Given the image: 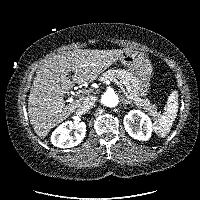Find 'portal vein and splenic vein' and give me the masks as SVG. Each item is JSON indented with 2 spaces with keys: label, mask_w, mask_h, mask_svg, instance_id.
Masks as SVG:
<instances>
[{
  "label": "portal vein and splenic vein",
  "mask_w": 200,
  "mask_h": 200,
  "mask_svg": "<svg viewBox=\"0 0 200 200\" xmlns=\"http://www.w3.org/2000/svg\"><path fill=\"white\" fill-rule=\"evenodd\" d=\"M110 81H112V82H114L115 84L119 85V87L122 89V91L124 92V94H127V93L125 92L124 87L120 84V82H119L117 79L111 78ZM79 92H80V91H79ZM70 100H72V99H70Z\"/></svg>",
  "instance_id": "obj_1"
}]
</instances>
